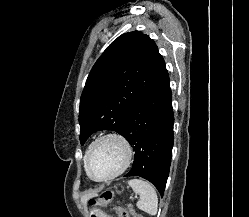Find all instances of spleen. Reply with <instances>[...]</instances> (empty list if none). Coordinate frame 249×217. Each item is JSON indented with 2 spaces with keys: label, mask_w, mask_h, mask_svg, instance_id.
<instances>
[{
  "label": "spleen",
  "mask_w": 249,
  "mask_h": 217,
  "mask_svg": "<svg viewBox=\"0 0 249 217\" xmlns=\"http://www.w3.org/2000/svg\"><path fill=\"white\" fill-rule=\"evenodd\" d=\"M128 184L132 187L135 193L140 195L137 207L152 216L156 215L158 197L155 188L149 182L142 179H131Z\"/></svg>",
  "instance_id": "spleen-1"
}]
</instances>
